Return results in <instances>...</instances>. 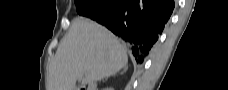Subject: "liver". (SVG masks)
I'll return each instance as SVG.
<instances>
[{"instance_id": "obj_1", "label": "liver", "mask_w": 228, "mask_h": 90, "mask_svg": "<svg viewBox=\"0 0 228 90\" xmlns=\"http://www.w3.org/2000/svg\"><path fill=\"white\" fill-rule=\"evenodd\" d=\"M126 49L103 26L75 18L49 68L47 90H75L77 80L93 83L126 67Z\"/></svg>"}]
</instances>
